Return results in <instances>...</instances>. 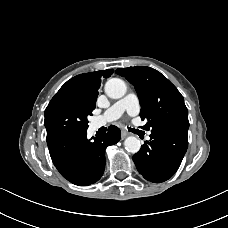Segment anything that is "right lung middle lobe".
<instances>
[{"label": "right lung middle lobe", "instance_id": "dd1d6c3e", "mask_svg": "<svg viewBox=\"0 0 228 228\" xmlns=\"http://www.w3.org/2000/svg\"><path fill=\"white\" fill-rule=\"evenodd\" d=\"M89 115L92 111L71 98L55 95L45 110L47 141L70 131L87 130Z\"/></svg>", "mask_w": 228, "mask_h": 228}]
</instances>
